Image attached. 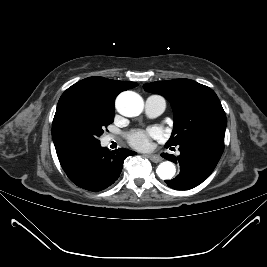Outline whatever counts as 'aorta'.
<instances>
[{"mask_svg": "<svg viewBox=\"0 0 267 267\" xmlns=\"http://www.w3.org/2000/svg\"><path fill=\"white\" fill-rule=\"evenodd\" d=\"M144 107L143 99L140 95L132 91L121 93L116 99V108L120 114L126 117L138 116ZM156 173L162 180L172 179L176 173L174 163L165 161L159 164Z\"/></svg>", "mask_w": 267, "mask_h": 267, "instance_id": "aorta-1", "label": "aorta"}]
</instances>
